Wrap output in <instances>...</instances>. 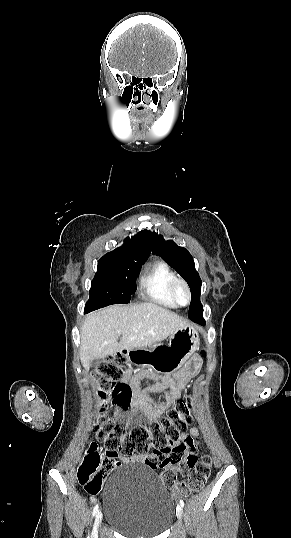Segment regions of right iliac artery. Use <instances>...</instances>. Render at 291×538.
<instances>
[{"label":"right iliac artery","mask_w":291,"mask_h":538,"mask_svg":"<svg viewBox=\"0 0 291 538\" xmlns=\"http://www.w3.org/2000/svg\"><path fill=\"white\" fill-rule=\"evenodd\" d=\"M98 508H99V505H98V504H96V505H95V507H94V510H93V516H94V515H95V514L97 513V511H98ZM87 538H89V535H88V537H87Z\"/></svg>","instance_id":"obj_1"}]
</instances>
